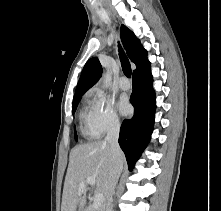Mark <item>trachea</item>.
Masks as SVG:
<instances>
[{
    "instance_id": "trachea-1",
    "label": "trachea",
    "mask_w": 221,
    "mask_h": 211,
    "mask_svg": "<svg viewBox=\"0 0 221 211\" xmlns=\"http://www.w3.org/2000/svg\"><path fill=\"white\" fill-rule=\"evenodd\" d=\"M119 56H120V61H121V65H122V70H123L124 74L128 78H130L131 77V66H130V63H129V60H128L127 56L123 52L120 45H119Z\"/></svg>"
}]
</instances>
